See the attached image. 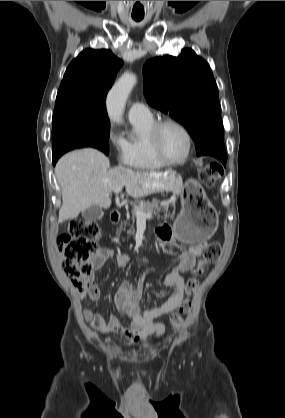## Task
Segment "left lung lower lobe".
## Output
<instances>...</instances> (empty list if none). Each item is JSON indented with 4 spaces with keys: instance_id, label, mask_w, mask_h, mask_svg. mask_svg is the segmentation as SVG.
I'll use <instances>...</instances> for the list:
<instances>
[{
    "instance_id": "left-lung-lower-lobe-1",
    "label": "left lung lower lobe",
    "mask_w": 285,
    "mask_h": 418,
    "mask_svg": "<svg viewBox=\"0 0 285 418\" xmlns=\"http://www.w3.org/2000/svg\"><path fill=\"white\" fill-rule=\"evenodd\" d=\"M222 155H223V151H222V150H220V151H218V152H213L211 156H213V157H215V158L219 159Z\"/></svg>"
}]
</instances>
